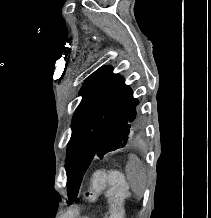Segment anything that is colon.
I'll return each mask as SVG.
<instances>
[{
  "label": "colon",
  "mask_w": 211,
  "mask_h": 218,
  "mask_svg": "<svg viewBox=\"0 0 211 218\" xmlns=\"http://www.w3.org/2000/svg\"><path fill=\"white\" fill-rule=\"evenodd\" d=\"M102 194L106 196L109 206L104 218H124L128 185L121 171L101 169L91 174L87 198L95 201Z\"/></svg>",
  "instance_id": "5ec220e1"
}]
</instances>
